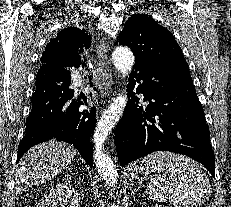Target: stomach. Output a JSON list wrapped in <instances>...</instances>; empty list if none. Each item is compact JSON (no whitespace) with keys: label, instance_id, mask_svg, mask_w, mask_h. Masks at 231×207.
Segmentation results:
<instances>
[{"label":"stomach","instance_id":"0dacf381","mask_svg":"<svg viewBox=\"0 0 231 207\" xmlns=\"http://www.w3.org/2000/svg\"><path fill=\"white\" fill-rule=\"evenodd\" d=\"M144 171L141 169V167L139 166H133V168L131 169V174L133 176H139L140 174H143Z\"/></svg>","mask_w":231,"mask_h":207}]
</instances>
